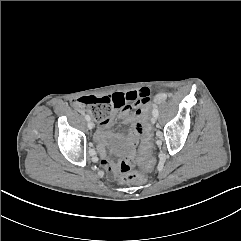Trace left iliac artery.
<instances>
[{
	"instance_id": "left-iliac-artery-1",
	"label": "left iliac artery",
	"mask_w": 241,
	"mask_h": 241,
	"mask_svg": "<svg viewBox=\"0 0 241 241\" xmlns=\"http://www.w3.org/2000/svg\"><path fill=\"white\" fill-rule=\"evenodd\" d=\"M152 113H153V116L158 117L159 113L156 106H154Z\"/></svg>"
}]
</instances>
